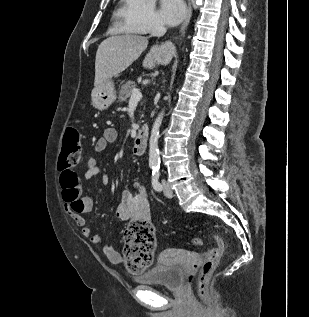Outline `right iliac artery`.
Here are the masks:
<instances>
[{"label":"right iliac artery","instance_id":"82829eb1","mask_svg":"<svg viewBox=\"0 0 309 317\" xmlns=\"http://www.w3.org/2000/svg\"><path fill=\"white\" fill-rule=\"evenodd\" d=\"M152 169L154 170V169H155V167H154V166H152Z\"/></svg>","mask_w":309,"mask_h":317}]
</instances>
